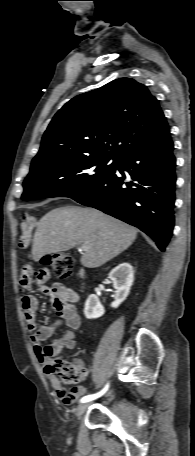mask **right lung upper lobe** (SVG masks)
<instances>
[{
	"label": "right lung upper lobe",
	"instance_id": "obj_1",
	"mask_svg": "<svg viewBox=\"0 0 195 456\" xmlns=\"http://www.w3.org/2000/svg\"><path fill=\"white\" fill-rule=\"evenodd\" d=\"M170 139L158 100L143 84L120 78L67 102L45 131L31 167L65 157L100 155L117 160Z\"/></svg>",
	"mask_w": 195,
	"mask_h": 456
}]
</instances>
